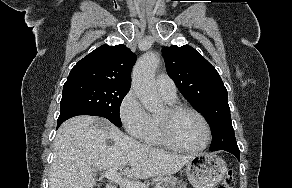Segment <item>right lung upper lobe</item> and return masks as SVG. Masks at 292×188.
<instances>
[{"label":"right lung upper lobe","instance_id":"1","mask_svg":"<svg viewBox=\"0 0 292 188\" xmlns=\"http://www.w3.org/2000/svg\"><path fill=\"white\" fill-rule=\"evenodd\" d=\"M135 60L136 55L125 45H102L72 68L67 81L93 80L130 88Z\"/></svg>","mask_w":292,"mask_h":188}]
</instances>
